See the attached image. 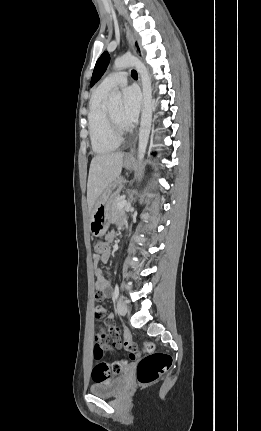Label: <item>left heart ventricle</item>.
I'll return each instance as SVG.
<instances>
[{
    "instance_id": "b2bd125f",
    "label": "left heart ventricle",
    "mask_w": 261,
    "mask_h": 431,
    "mask_svg": "<svg viewBox=\"0 0 261 431\" xmlns=\"http://www.w3.org/2000/svg\"><path fill=\"white\" fill-rule=\"evenodd\" d=\"M120 111H121L120 107L116 106L114 108H111L109 110V113L111 114L112 118L118 123V125L125 128V126L122 124L120 119Z\"/></svg>"
}]
</instances>
